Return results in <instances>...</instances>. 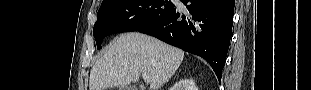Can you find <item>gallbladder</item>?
I'll return each mask as SVG.
<instances>
[{
    "mask_svg": "<svg viewBox=\"0 0 311 90\" xmlns=\"http://www.w3.org/2000/svg\"><path fill=\"white\" fill-rule=\"evenodd\" d=\"M119 90H136V86L133 84L122 85Z\"/></svg>",
    "mask_w": 311,
    "mask_h": 90,
    "instance_id": "obj_1",
    "label": "gallbladder"
}]
</instances>
